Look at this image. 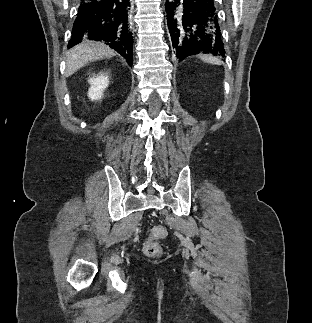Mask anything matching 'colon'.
I'll return each mask as SVG.
<instances>
[{"label": "colon", "mask_w": 312, "mask_h": 323, "mask_svg": "<svg viewBox=\"0 0 312 323\" xmlns=\"http://www.w3.org/2000/svg\"><path fill=\"white\" fill-rule=\"evenodd\" d=\"M165 235V231L163 228H154L151 231L149 238L146 240L144 244V252L148 256H158L160 254V248L158 243L155 241L156 238L162 237Z\"/></svg>", "instance_id": "1"}]
</instances>
